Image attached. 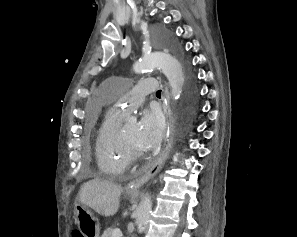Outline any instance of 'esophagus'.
<instances>
[{
    "mask_svg": "<svg viewBox=\"0 0 297 237\" xmlns=\"http://www.w3.org/2000/svg\"><path fill=\"white\" fill-rule=\"evenodd\" d=\"M163 111L166 118V127H165V137H164V146L154 161V163L147 169L141 172L138 178H135L129 181L125 187L127 191H137L143 184L149 181L152 177H154L159 170L164 165L165 161L167 160L171 148L173 146L174 141V126H173V116L171 110L168 108L165 103L163 104Z\"/></svg>",
    "mask_w": 297,
    "mask_h": 237,
    "instance_id": "1",
    "label": "esophagus"
}]
</instances>
